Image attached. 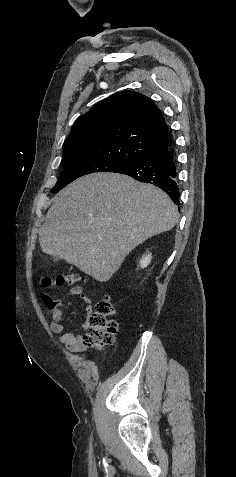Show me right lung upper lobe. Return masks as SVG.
Instances as JSON below:
<instances>
[{"label":"right lung upper lobe","instance_id":"cb5924a9","mask_svg":"<svg viewBox=\"0 0 236 477\" xmlns=\"http://www.w3.org/2000/svg\"><path fill=\"white\" fill-rule=\"evenodd\" d=\"M167 142L161 111L145 95L127 90L99 102L73 124L62 162L107 157L130 163Z\"/></svg>","mask_w":236,"mask_h":477}]
</instances>
